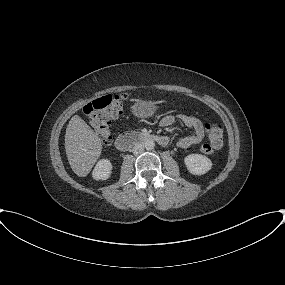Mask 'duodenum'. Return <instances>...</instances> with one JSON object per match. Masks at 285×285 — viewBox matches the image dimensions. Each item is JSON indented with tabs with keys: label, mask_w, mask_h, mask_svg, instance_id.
<instances>
[{
	"label": "duodenum",
	"mask_w": 285,
	"mask_h": 285,
	"mask_svg": "<svg viewBox=\"0 0 285 285\" xmlns=\"http://www.w3.org/2000/svg\"><path fill=\"white\" fill-rule=\"evenodd\" d=\"M146 141H155L162 146H165L168 143L167 138L164 136L132 132L118 136L115 141V147L120 151H126L132 148L134 145Z\"/></svg>",
	"instance_id": "duodenum-1"
}]
</instances>
